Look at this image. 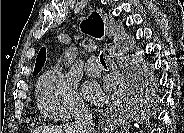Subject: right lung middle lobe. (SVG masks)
<instances>
[{
	"label": "right lung middle lobe",
	"mask_w": 184,
	"mask_h": 133,
	"mask_svg": "<svg viewBox=\"0 0 184 133\" xmlns=\"http://www.w3.org/2000/svg\"><path fill=\"white\" fill-rule=\"evenodd\" d=\"M127 42V39H126ZM125 42V43H126ZM128 81L131 84L132 87V102H134L135 100H137L140 104L143 102V100L145 99L144 97H140L137 96V98L135 97L137 94H141L143 90H145V87L148 86L149 84V80H148V76H147V72L144 66H142V64L138 63L137 65H130L129 71H128ZM134 94V95H133Z\"/></svg>",
	"instance_id": "dd1d6c3e"
}]
</instances>
